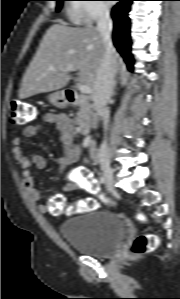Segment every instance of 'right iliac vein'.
<instances>
[{"instance_id": "63e3f726", "label": "right iliac vein", "mask_w": 180, "mask_h": 299, "mask_svg": "<svg viewBox=\"0 0 180 299\" xmlns=\"http://www.w3.org/2000/svg\"><path fill=\"white\" fill-rule=\"evenodd\" d=\"M101 169L103 171V175L105 178V183L109 191L114 190V177H113V169L110 166L109 162L102 161Z\"/></svg>"}]
</instances>
